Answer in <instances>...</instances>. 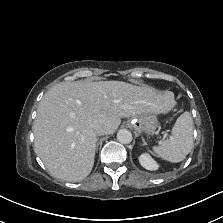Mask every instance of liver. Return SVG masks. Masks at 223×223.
Listing matches in <instances>:
<instances>
[{
    "label": "liver",
    "instance_id": "1",
    "mask_svg": "<svg viewBox=\"0 0 223 223\" xmlns=\"http://www.w3.org/2000/svg\"><path fill=\"white\" fill-rule=\"evenodd\" d=\"M174 105L171 91L161 93L121 81L62 82L49 89L38 105L34 151L52 176L81 181L94 165L95 125L112 134L121 118L165 114Z\"/></svg>",
    "mask_w": 223,
    "mask_h": 223
}]
</instances>
